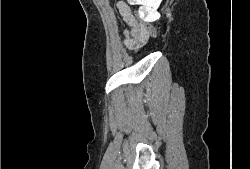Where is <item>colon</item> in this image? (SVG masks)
Segmentation results:
<instances>
[{
    "label": "colon",
    "instance_id": "5ec220e1",
    "mask_svg": "<svg viewBox=\"0 0 250 169\" xmlns=\"http://www.w3.org/2000/svg\"><path fill=\"white\" fill-rule=\"evenodd\" d=\"M121 10L126 13L130 14L128 8L125 5H121ZM139 11L138 9L136 10ZM137 21H140V25H143L140 29V35L138 38H136V42L138 43H144L148 37L151 36V38H156V28L153 26V23H151L149 20H145L143 14H136Z\"/></svg>",
    "mask_w": 250,
    "mask_h": 169
}]
</instances>
